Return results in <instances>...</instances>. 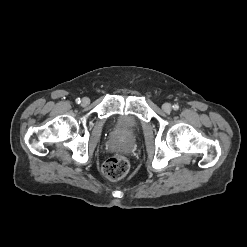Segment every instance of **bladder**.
Instances as JSON below:
<instances>
[{
  "instance_id": "1",
  "label": "bladder",
  "mask_w": 247,
  "mask_h": 247,
  "mask_svg": "<svg viewBox=\"0 0 247 247\" xmlns=\"http://www.w3.org/2000/svg\"><path fill=\"white\" fill-rule=\"evenodd\" d=\"M138 127L137 120L132 116H121L118 118L115 130L120 135H132Z\"/></svg>"
}]
</instances>
